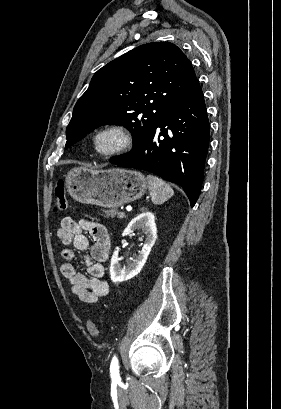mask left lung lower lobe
<instances>
[{
    "instance_id": "obj_1",
    "label": "left lung lower lobe",
    "mask_w": 281,
    "mask_h": 409,
    "mask_svg": "<svg viewBox=\"0 0 281 409\" xmlns=\"http://www.w3.org/2000/svg\"><path fill=\"white\" fill-rule=\"evenodd\" d=\"M209 130L204 96L196 78L132 151L110 162L146 170L182 186L193 207L201 191Z\"/></svg>"
}]
</instances>
